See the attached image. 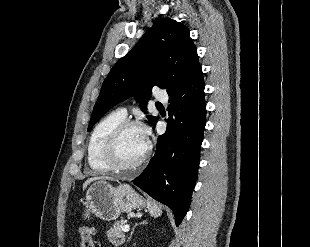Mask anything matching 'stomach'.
Segmentation results:
<instances>
[{"label":"stomach","instance_id":"1","mask_svg":"<svg viewBox=\"0 0 310 247\" xmlns=\"http://www.w3.org/2000/svg\"><path fill=\"white\" fill-rule=\"evenodd\" d=\"M142 196L128 184L113 187L106 181H96L86 191L83 216L94 214L104 221L116 220L122 212L145 207Z\"/></svg>","mask_w":310,"mask_h":247}]
</instances>
